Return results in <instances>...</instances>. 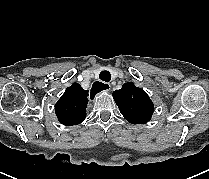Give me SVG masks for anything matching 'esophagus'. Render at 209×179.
<instances>
[{
    "label": "esophagus",
    "mask_w": 209,
    "mask_h": 179,
    "mask_svg": "<svg viewBox=\"0 0 209 179\" xmlns=\"http://www.w3.org/2000/svg\"><path fill=\"white\" fill-rule=\"evenodd\" d=\"M111 88V85L109 83H100V82H94L91 88V94L94 96L100 91H109Z\"/></svg>",
    "instance_id": "esophagus-1"
}]
</instances>
